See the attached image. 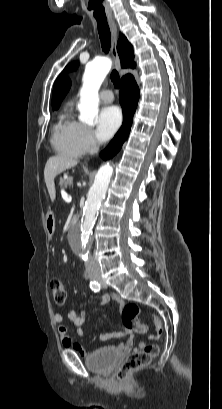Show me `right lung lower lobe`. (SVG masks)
I'll return each instance as SVG.
<instances>
[{"label":"right lung lower lobe","instance_id":"98d812e1","mask_svg":"<svg viewBox=\"0 0 222 409\" xmlns=\"http://www.w3.org/2000/svg\"><path fill=\"white\" fill-rule=\"evenodd\" d=\"M138 100L139 89L134 77L131 75L122 81L120 103L123 109V124L104 152L101 153V156L105 160L114 156L122 147L123 142L128 138Z\"/></svg>","mask_w":222,"mask_h":409}]
</instances>
